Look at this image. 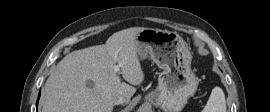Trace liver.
Here are the masks:
<instances>
[{"label": "liver", "instance_id": "6515ba94", "mask_svg": "<svg viewBox=\"0 0 270 112\" xmlns=\"http://www.w3.org/2000/svg\"><path fill=\"white\" fill-rule=\"evenodd\" d=\"M144 27H132L112 34L104 45L66 55L48 77L42 98V112H112L116 96L127 102L144 80L137 54V35ZM131 85L121 82L114 71Z\"/></svg>", "mask_w": 270, "mask_h": 112}]
</instances>
